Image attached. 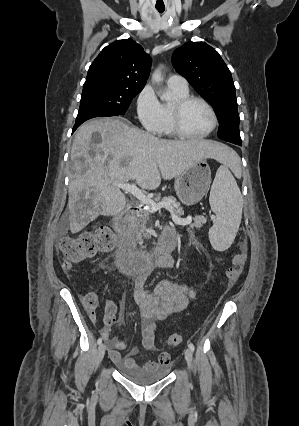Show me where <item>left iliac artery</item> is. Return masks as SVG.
Returning a JSON list of instances; mask_svg holds the SVG:
<instances>
[{
  "instance_id": "1",
  "label": "left iliac artery",
  "mask_w": 299,
  "mask_h": 426,
  "mask_svg": "<svg viewBox=\"0 0 299 426\" xmlns=\"http://www.w3.org/2000/svg\"><path fill=\"white\" fill-rule=\"evenodd\" d=\"M188 346H189V348L191 349V351L193 352L194 350H195V346H194V344L193 343H189L188 344Z\"/></svg>"
}]
</instances>
